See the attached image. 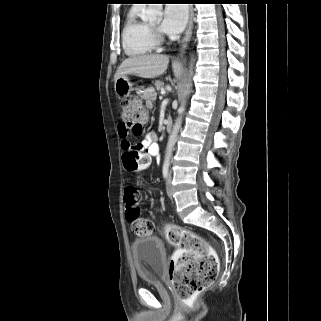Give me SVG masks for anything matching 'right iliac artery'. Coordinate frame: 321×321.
<instances>
[{
  "instance_id": "right-iliac-artery-1",
  "label": "right iliac artery",
  "mask_w": 321,
  "mask_h": 321,
  "mask_svg": "<svg viewBox=\"0 0 321 321\" xmlns=\"http://www.w3.org/2000/svg\"><path fill=\"white\" fill-rule=\"evenodd\" d=\"M169 164L168 163H165L164 165H163V170H162V172H163V177H164V179L166 180L167 178H168V175H169Z\"/></svg>"
}]
</instances>
